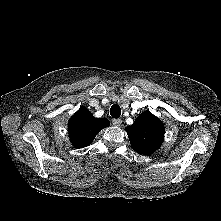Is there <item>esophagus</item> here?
<instances>
[{"instance_id":"1","label":"esophagus","mask_w":221,"mask_h":221,"mask_svg":"<svg viewBox=\"0 0 221 221\" xmlns=\"http://www.w3.org/2000/svg\"><path fill=\"white\" fill-rule=\"evenodd\" d=\"M112 123H113V125H115V126H120L121 123H122V120H121V119H113V120H112Z\"/></svg>"}]
</instances>
